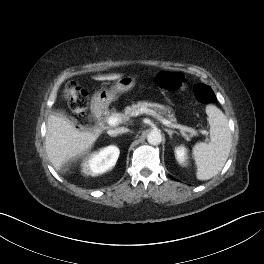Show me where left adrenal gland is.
<instances>
[{
  "mask_svg": "<svg viewBox=\"0 0 264 264\" xmlns=\"http://www.w3.org/2000/svg\"><path fill=\"white\" fill-rule=\"evenodd\" d=\"M164 130L168 133V135H169L170 138H172V135H173L174 133L178 134V132L173 131V130H171V129H167V128H165Z\"/></svg>",
  "mask_w": 264,
  "mask_h": 264,
  "instance_id": "obj_1",
  "label": "left adrenal gland"
}]
</instances>
